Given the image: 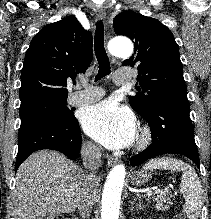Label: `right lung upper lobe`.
<instances>
[{
    "instance_id": "1",
    "label": "right lung upper lobe",
    "mask_w": 211,
    "mask_h": 219,
    "mask_svg": "<svg viewBox=\"0 0 211 219\" xmlns=\"http://www.w3.org/2000/svg\"><path fill=\"white\" fill-rule=\"evenodd\" d=\"M92 34L74 16L43 27L32 39L21 71V103L67 98V80L92 61Z\"/></svg>"
}]
</instances>
